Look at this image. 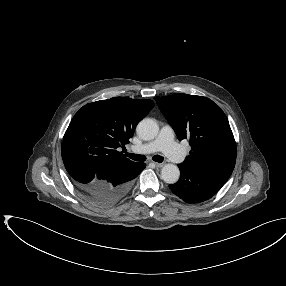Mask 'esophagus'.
I'll return each instance as SVG.
<instances>
[{"label": "esophagus", "instance_id": "esophagus-1", "mask_svg": "<svg viewBox=\"0 0 286 286\" xmlns=\"http://www.w3.org/2000/svg\"><path fill=\"white\" fill-rule=\"evenodd\" d=\"M153 163L156 167H162L164 165L163 163H158V162H153Z\"/></svg>", "mask_w": 286, "mask_h": 286}]
</instances>
